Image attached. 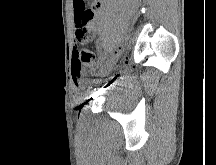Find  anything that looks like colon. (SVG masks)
<instances>
[{
    "label": "colon",
    "instance_id": "5ec220e1",
    "mask_svg": "<svg viewBox=\"0 0 216 165\" xmlns=\"http://www.w3.org/2000/svg\"><path fill=\"white\" fill-rule=\"evenodd\" d=\"M92 13H84V21L90 19ZM91 32L88 31L84 26H81L76 33V38L80 42H84L91 37ZM99 59L96 55L86 47H80L75 50L73 60L74 77H80V71L83 67H88L93 71H97L100 67Z\"/></svg>",
    "mask_w": 216,
    "mask_h": 165
}]
</instances>
